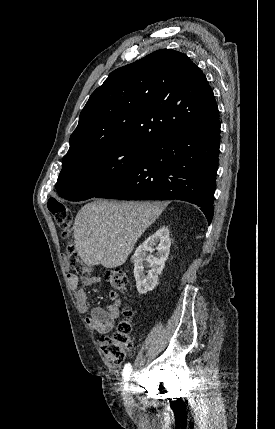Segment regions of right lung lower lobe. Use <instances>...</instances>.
Returning <instances> with one entry per match:
<instances>
[{"instance_id":"right-lung-lower-lobe-1","label":"right lung lower lobe","mask_w":275,"mask_h":429,"mask_svg":"<svg viewBox=\"0 0 275 429\" xmlns=\"http://www.w3.org/2000/svg\"><path fill=\"white\" fill-rule=\"evenodd\" d=\"M220 121L172 132L149 146L143 162L94 197L188 201L201 207L208 224L214 213Z\"/></svg>"}]
</instances>
